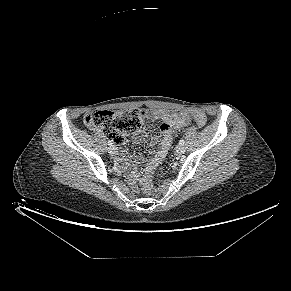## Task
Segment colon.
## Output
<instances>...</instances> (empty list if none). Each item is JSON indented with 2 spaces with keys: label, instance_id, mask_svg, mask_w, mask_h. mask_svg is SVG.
Listing matches in <instances>:
<instances>
[{
  "label": "colon",
  "instance_id": "1",
  "mask_svg": "<svg viewBox=\"0 0 291 291\" xmlns=\"http://www.w3.org/2000/svg\"><path fill=\"white\" fill-rule=\"evenodd\" d=\"M191 114L198 126L203 127L206 124L207 119L204 113L193 111ZM146 117V111L141 109H131L124 112L96 110L85 115L84 123L92 130L103 131L108 138L120 144L128 134L133 133L143 125ZM152 172V168H146L141 177V187L146 194H150L153 190Z\"/></svg>",
  "mask_w": 291,
  "mask_h": 291
}]
</instances>
